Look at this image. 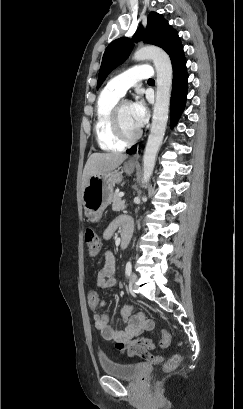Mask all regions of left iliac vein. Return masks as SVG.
I'll return each mask as SVG.
<instances>
[{
  "instance_id": "obj_1",
  "label": "left iliac vein",
  "mask_w": 243,
  "mask_h": 409,
  "mask_svg": "<svg viewBox=\"0 0 243 409\" xmlns=\"http://www.w3.org/2000/svg\"><path fill=\"white\" fill-rule=\"evenodd\" d=\"M136 281H137V275L135 273H132L129 278L130 285H134Z\"/></svg>"
}]
</instances>
